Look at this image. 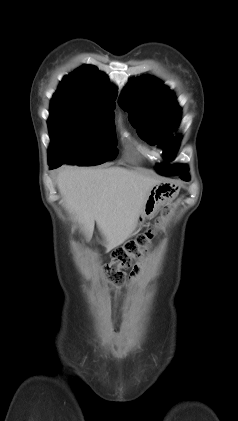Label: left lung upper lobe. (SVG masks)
<instances>
[{
  "instance_id": "left-lung-upper-lobe-1",
  "label": "left lung upper lobe",
  "mask_w": 238,
  "mask_h": 421,
  "mask_svg": "<svg viewBox=\"0 0 238 421\" xmlns=\"http://www.w3.org/2000/svg\"><path fill=\"white\" fill-rule=\"evenodd\" d=\"M131 92L124 91L118 104L129 113V120L138 135L150 144H165V156L171 159L176 153L179 141L171 140V133L180 122L181 110L174 94L154 77L133 79L128 83ZM186 165H166L161 173L184 174Z\"/></svg>"
}]
</instances>
